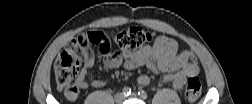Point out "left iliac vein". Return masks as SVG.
<instances>
[{"mask_svg":"<svg viewBox=\"0 0 252 104\" xmlns=\"http://www.w3.org/2000/svg\"><path fill=\"white\" fill-rule=\"evenodd\" d=\"M130 97H131V98H136V97H137V94H136V93H132Z\"/></svg>","mask_w":252,"mask_h":104,"instance_id":"left-iliac-vein-1","label":"left iliac vein"}]
</instances>
